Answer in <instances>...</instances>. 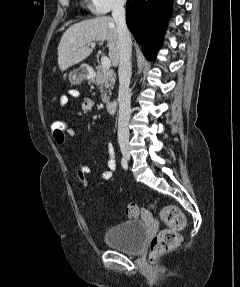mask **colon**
Returning a JSON list of instances; mask_svg holds the SVG:
<instances>
[{
    "mask_svg": "<svg viewBox=\"0 0 240 287\" xmlns=\"http://www.w3.org/2000/svg\"><path fill=\"white\" fill-rule=\"evenodd\" d=\"M53 137L64 139L70 129V122L64 118H58L50 123ZM77 182L81 187H86L87 181L83 173L78 172ZM139 206L136 203H129L125 214L129 219H136L139 216ZM160 217L167 228L160 231L151 241L149 249V260L154 263L163 254L177 248L181 243V231L186 224L185 216L175 205H166L160 209Z\"/></svg>",
    "mask_w": 240,
    "mask_h": 287,
    "instance_id": "1",
    "label": "colon"
}]
</instances>
